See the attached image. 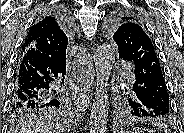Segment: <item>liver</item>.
<instances>
[{
	"label": "liver",
	"mask_w": 184,
	"mask_h": 133,
	"mask_svg": "<svg viewBox=\"0 0 184 133\" xmlns=\"http://www.w3.org/2000/svg\"><path fill=\"white\" fill-rule=\"evenodd\" d=\"M10 133H64L58 119L48 113L31 114L14 124Z\"/></svg>",
	"instance_id": "liver-1"
}]
</instances>
